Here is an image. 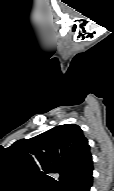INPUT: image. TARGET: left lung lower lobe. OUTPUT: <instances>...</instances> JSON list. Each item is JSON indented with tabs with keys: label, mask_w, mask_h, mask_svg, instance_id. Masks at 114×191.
Returning a JSON list of instances; mask_svg holds the SVG:
<instances>
[{
	"label": "left lung lower lobe",
	"mask_w": 114,
	"mask_h": 191,
	"mask_svg": "<svg viewBox=\"0 0 114 191\" xmlns=\"http://www.w3.org/2000/svg\"><path fill=\"white\" fill-rule=\"evenodd\" d=\"M93 162L90 157L80 169L60 188V191H90L93 183Z\"/></svg>",
	"instance_id": "1"
}]
</instances>
